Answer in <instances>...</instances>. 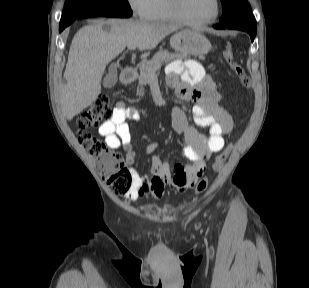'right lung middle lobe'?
Returning <instances> with one entry per match:
<instances>
[{"label":"right lung middle lobe","instance_id":"dd1d6c3e","mask_svg":"<svg viewBox=\"0 0 309 288\" xmlns=\"http://www.w3.org/2000/svg\"><path fill=\"white\" fill-rule=\"evenodd\" d=\"M96 10H113L132 14L127 0H67L61 16L60 27L69 26L74 20Z\"/></svg>","mask_w":309,"mask_h":288}]
</instances>
